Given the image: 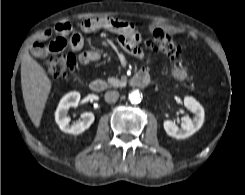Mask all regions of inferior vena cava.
<instances>
[{
  "instance_id": "1",
  "label": "inferior vena cava",
  "mask_w": 245,
  "mask_h": 195,
  "mask_svg": "<svg viewBox=\"0 0 245 195\" xmlns=\"http://www.w3.org/2000/svg\"><path fill=\"white\" fill-rule=\"evenodd\" d=\"M119 98V93L117 91H107L105 93V101L108 103H115Z\"/></svg>"
}]
</instances>
